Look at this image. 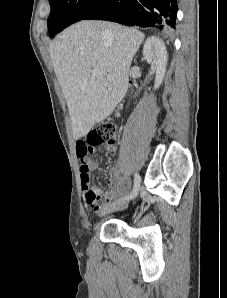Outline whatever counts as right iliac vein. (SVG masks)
<instances>
[{
	"mask_svg": "<svg viewBox=\"0 0 227 298\" xmlns=\"http://www.w3.org/2000/svg\"><path fill=\"white\" fill-rule=\"evenodd\" d=\"M129 201L127 200H120V201H115L113 203H109L106 206L103 207V209L100 212V216H104L106 214L120 211L125 209L128 206Z\"/></svg>",
	"mask_w": 227,
	"mask_h": 298,
	"instance_id": "obj_1",
	"label": "right iliac vein"
}]
</instances>
